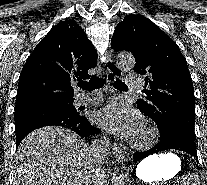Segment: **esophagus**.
<instances>
[{
  "label": "esophagus",
  "mask_w": 207,
  "mask_h": 185,
  "mask_svg": "<svg viewBox=\"0 0 207 185\" xmlns=\"http://www.w3.org/2000/svg\"><path fill=\"white\" fill-rule=\"evenodd\" d=\"M113 61H114V56H106V62H104V67H107L106 79L109 85H111L113 82H115L118 78L122 76V67H118L116 65V62ZM109 91H110V96L115 95V91L113 90L112 87L110 88ZM112 153L115 159L117 157H125L122 147L117 143H114L112 145Z\"/></svg>",
  "instance_id": "esophagus-1"
}]
</instances>
